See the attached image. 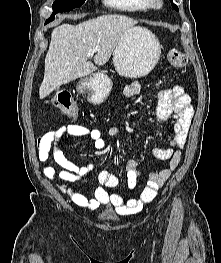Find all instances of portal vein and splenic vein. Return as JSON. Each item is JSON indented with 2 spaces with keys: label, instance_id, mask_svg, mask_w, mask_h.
Instances as JSON below:
<instances>
[{
  "label": "portal vein and splenic vein",
  "instance_id": "1",
  "mask_svg": "<svg viewBox=\"0 0 221 263\" xmlns=\"http://www.w3.org/2000/svg\"><path fill=\"white\" fill-rule=\"evenodd\" d=\"M94 53H95V50H94V49H90V50L88 51L87 56H88V57H91Z\"/></svg>",
  "mask_w": 221,
  "mask_h": 263
}]
</instances>
